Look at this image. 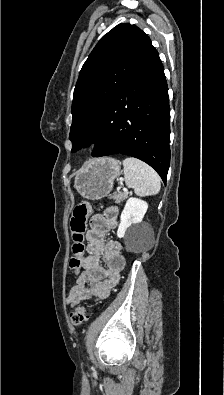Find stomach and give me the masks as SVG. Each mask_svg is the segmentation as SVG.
<instances>
[{
	"label": "stomach",
	"mask_w": 224,
	"mask_h": 395,
	"mask_svg": "<svg viewBox=\"0 0 224 395\" xmlns=\"http://www.w3.org/2000/svg\"><path fill=\"white\" fill-rule=\"evenodd\" d=\"M121 174L120 162L114 158H99L88 161L76 174L74 187L89 200L107 196L114 180Z\"/></svg>",
	"instance_id": "stomach-1"
}]
</instances>
